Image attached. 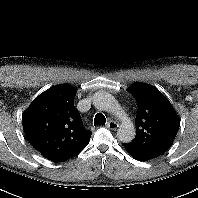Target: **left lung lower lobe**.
<instances>
[{
	"mask_svg": "<svg viewBox=\"0 0 198 198\" xmlns=\"http://www.w3.org/2000/svg\"><path fill=\"white\" fill-rule=\"evenodd\" d=\"M124 147L133 158L140 160V161H147V160L154 159V158L158 157V155L141 152V151L135 150L133 148L127 147L125 145H124Z\"/></svg>",
	"mask_w": 198,
	"mask_h": 198,
	"instance_id": "left-lung-lower-lobe-1",
	"label": "left lung lower lobe"
}]
</instances>
